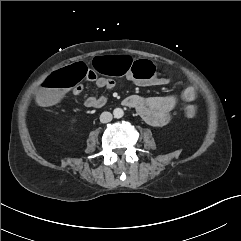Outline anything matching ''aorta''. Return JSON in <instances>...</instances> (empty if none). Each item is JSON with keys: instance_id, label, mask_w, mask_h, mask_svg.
<instances>
[{"instance_id": "1", "label": "aorta", "mask_w": 241, "mask_h": 241, "mask_svg": "<svg viewBox=\"0 0 241 241\" xmlns=\"http://www.w3.org/2000/svg\"><path fill=\"white\" fill-rule=\"evenodd\" d=\"M113 114L115 118H122L124 115V111L121 108H115Z\"/></svg>"}]
</instances>
